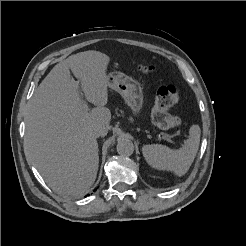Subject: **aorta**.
Returning a JSON list of instances; mask_svg holds the SVG:
<instances>
[{
    "instance_id": "obj_1",
    "label": "aorta",
    "mask_w": 246,
    "mask_h": 246,
    "mask_svg": "<svg viewBox=\"0 0 246 246\" xmlns=\"http://www.w3.org/2000/svg\"><path fill=\"white\" fill-rule=\"evenodd\" d=\"M117 152L121 156H130L134 152L133 142L125 135L118 138Z\"/></svg>"
}]
</instances>
